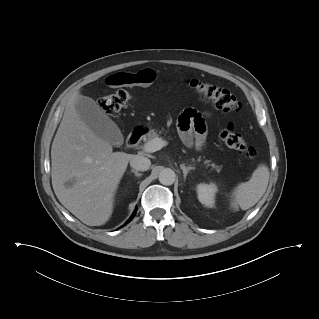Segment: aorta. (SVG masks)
Returning <instances> with one entry per match:
<instances>
[{
    "label": "aorta",
    "mask_w": 319,
    "mask_h": 319,
    "mask_svg": "<svg viewBox=\"0 0 319 319\" xmlns=\"http://www.w3.org/2000/svg\"><path fill=\"white\" fill-rule=\"evenodd\" d=\"M176 174L170 168H164L159 173V182L163 185H172L175 181Z\"/></svg>",
    "instance_id": "1"
}]
</instances>
